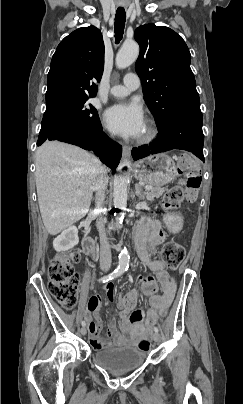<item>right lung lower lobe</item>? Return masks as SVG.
<instances>
[{
	"mask_svg": "<svg viewBox=\"0 0 243 404\" xmlns=\"http://www.w3.org/2000/svg\"><path fill=\"white\" fill-rule=\"evenodd\" d=\"M46 140H58L93 151L112 170L118 166L122 154L121 145L110 140L102 132L101 126L66 124L55 130Z\"/></svg>",
	"mask_w": 243,
	"mask_h": 404,
	"instance_id": "1",
	"label": "right lung lower lobe"
}]
</instances>
